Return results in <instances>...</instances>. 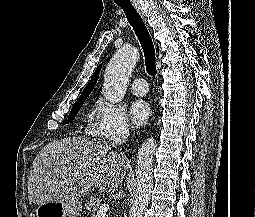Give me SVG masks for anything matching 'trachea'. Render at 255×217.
I'll return each instance as SVG.
<instances>
[{
    "mask_svg": "<svg viewBox=\"0 0 255 217\" xmlns=\"http://www.w3.org/2000/svg\"><path fill=\"white\" fill-rule=\"evenodd\" d=\"M118 6L123 9L126 18L129 23L133 27L140 44L142 46L144 57H145V65L146 71L150 76H156V56H155V48L153 45L152 38L136 9L129 3L118 4Z\"/></svg>",
    "mask_w": 255,
    "mask_h": 217,
    "instance_id": "obj_1",
    "label": "trachea"
}]
</instances>
